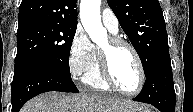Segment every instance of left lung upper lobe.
I'll use <instances>...</instances> for the list:
<instances>
[{"label":"left lung upper lobe","instance_id":"left-lung-upper-lobe-1","mask_svg":"<svg viewBox=\"0 0 193 112\" xmlns=\"http://www.w3.org/2000/svg\"><path fill=\"white\" fill-rule=\"evenodd\" d=\"M122 29L137 51L146 73L168 49L163 12L158 0H107Z\"/></svg>","mask_w":193,"mask_h":112}]
</instances>
